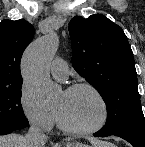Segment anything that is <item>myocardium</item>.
Instances as JSON below:
<instances>
[{
  "label": "myocardium",
  "mask_w": 145,
  "mask_h": 147,
  "mask_svg": "<svg viewBox=\"0 0 145 147\" xmlns=\"http://www.w3.org/2000/svg\"><path fill=\"white\" fill-rule=\"evenodd\" d=\"M79 89H87L90 92H92L94 94V96L97 98V100L100 103L101 110H102V115H101L100 120L98 121V123H96L95 125H93L89 128H75V127L69 125L63 119L60 112L57 109H55L57 122L59 124V127L63 131H65L69 134L77 135V136L91 135V134H94V133L98 132L99 130H101L108 122L109 107H108V104H107L104 96L101 94V92L94 85H92L90 83H86V82L74 83V84L68 86L64 92L71 93V92L79 90Z\"/></svg>",
  "instance_id": "myocardium-1"
}]
</instances>
